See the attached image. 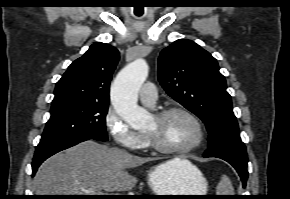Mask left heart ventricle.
I'll return each mask as SVG.
<instances>
[{
    "mask_svg": "<svg viewBox=\"0 0 290 199\" xmlns=\"http://www.w3.org/2000/svg\"><path fill=\"white\" fill-rule=\"evenodd\" d=\"M160 144L170 148H183L191 145L197 138L194 123L182 114H172L159 121L152 117L145 129Z\"/></svg>",
    "mask_w": 290,
    "mask_h": 199,
    "instance_id": "left-heart-ventricle-1",
    "label": "left heart ventricle"
}]
</instances>
